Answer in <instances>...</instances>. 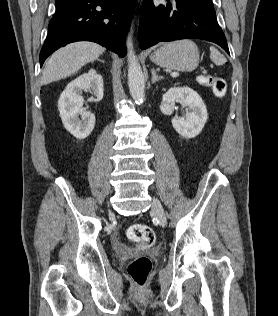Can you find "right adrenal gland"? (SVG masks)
<instances>
[{"label":"right adrenal gland","mask_w":278,"mask_h":316,"mask_svg":"<svg viewBox=\"0 0 278 316\" xmlns=\"http://www.w3.org/2000/svg\"><path fill=\"white\" fill-rule=\"evenodd\" d=\"M98 61H100V62H102V63H105L104 60H101V59H98Z\"/></svg>","instance_id":"obj_1"}]
</instances>
